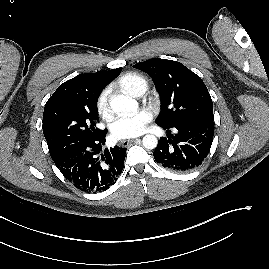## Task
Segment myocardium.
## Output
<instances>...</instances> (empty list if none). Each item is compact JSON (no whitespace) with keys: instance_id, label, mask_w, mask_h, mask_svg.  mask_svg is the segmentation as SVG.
Masks as SVG:
<instances>
[{"instance_id":"obj_1","label":"myocardium","mask_w":269,"mask_h":269,"mask_svg":"<svg viewBox=\"0 0 269 269\" xmlns=\"http://www.w3.org/2000/svg\"><path fill=\"white\" fill-rule=\"evenodd\" d=\"M150 105H152V106H155L156 105V102H155L154 99H150Z\"/></svg>"}]
</instances>
